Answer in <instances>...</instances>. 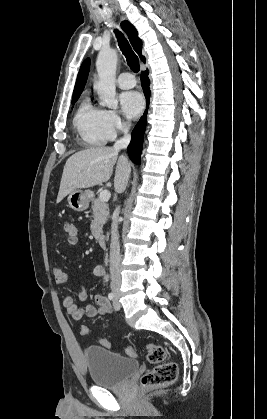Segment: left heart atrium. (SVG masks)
Wrapping results in <instances>:
<instances>
[{
  "label": "left heart atrium",
  "mask_w": 267,
  "mask_h": 419,
  "mask_svg": "<svg viewBox=\"0 0 267 419\" xmlns=\"http://www.w3.org/2000/svg\"><path fill=\"white\" fill-rule=\"evenodd\" d=\"M120 107L127 118L137 117L144 107V98L137 91H126L119 96Z\"/></svg>",
  "instance_id": "left-heart-atrium-1"
}]
</instances>
